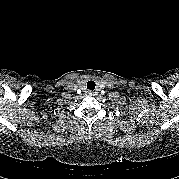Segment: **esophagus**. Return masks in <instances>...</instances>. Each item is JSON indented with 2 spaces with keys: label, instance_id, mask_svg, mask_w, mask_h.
Returning <instances> with one entry per match:
<instances>
[{
  "label": "esophagus",
  "instance_id": "34e87169",
  "mask_svg": "<svg viewBox=\"0 0 179 179\" xmlns=\"http://www.w3.org/2000/svg\"><path fill=\"white\" fill-rule=\"evenodd\" d=\"M87 94H88V96H92V95H94V92L93 91H87Z\"/></svg>",
  "mask_w": 179,
  "mask_h": 179
}]
</instances>
